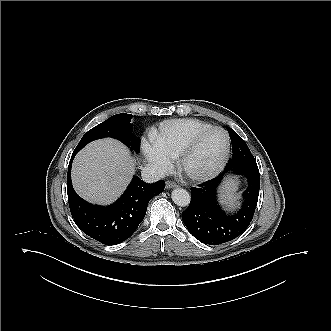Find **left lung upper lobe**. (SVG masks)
<instances>
[{
	"label": "left lung upper lobe",
	"mask_w": 331,
	"mask_h": 331,
	"mask_svg": "<svg viewBox=\"0 0 331 331\" xmlns=\"http://www.w3.org/2000/svg\"><path fill=\"white\" fill-rule=\"evenodd\" d=\"M232 142V158L229 160L226 168L235 166L258 168L256 160L251 154L244 140L230 127H227Z\"/></svg>",
	"instance_id": "obj_1"
}]
</instances>
